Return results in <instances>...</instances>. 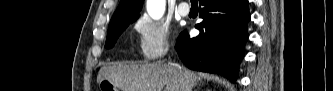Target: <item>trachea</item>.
Segmentation results:
<instances>
[{"instance_id": "3493384b", "label": "trachea", "mask_w": 333, "mask_h": 91, "mask_svg": "<svg viewBox=\"0 0 333 91\" xmlns=\"http://www.w3.org/2000/svg\"><path fill=\"white\" fill-rule=\"evenodd\" d=\"M192 3H196L197 1L196 0H191Z\"/></svg>"}]
</instances>
